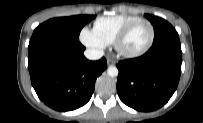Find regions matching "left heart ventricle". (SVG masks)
Masks as SVG:
<instances>
[{"label":"left heart ventricle","mask_w":203,"mask_h":123,"mask_svg":"<svg viewBox=\"0 0 203 123\" xmlns=\"http://www.w3.org/2000/svg\"><path fill=\"white\" fill-rule=\"evenodd\" d=\"M150 28L146 23H139L131 30L123 42V49L134 52L142 49L149 41Z\"/></svg>","instance_id":"obj_1"}]
</instances>
